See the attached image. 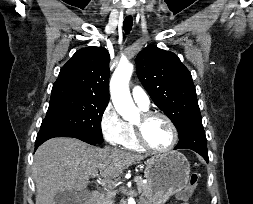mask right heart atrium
Returning <instances> with one entry per match:
<instances>
[{"instance_id": "obj_1", "label": "right heart atrium", "mask_w": 253, "mask_h": 204, "mask_svg": "<svg viewBox=\"0 0 253 204\" xmlns=\"http://www.w3.org/2000/svg\"><path fill=\"white\" fill-rule=\"evenodd\" d=\"M100 129L104 139L112 145H120L127 136L128 125L109 104L100 119Z\"/></svg>"}]
</instances>
